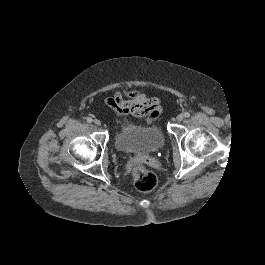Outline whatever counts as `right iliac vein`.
Wrapping results in <instances>:
<instances>
[{"instance_id": "obj_1", "label": "right iliac vein", "mask_w": 265, "mask_h": 265, "mask_svg": "<svg viewBox=\"0 0 265 265\" xmlns=\"http://www.w3.org/2000/svg\"><path fill=\"white\" fill-rule=\"evenodd\" d=\"M94 124H95L96 126H100V125H101V121H100L99 119H95V120H94Z\"/></svg>"}]
</instances>
